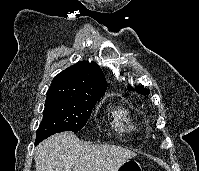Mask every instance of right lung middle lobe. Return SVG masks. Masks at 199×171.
I'll list each match as a JSON object with an SVG mask.
<instances>
[{
    "mask_svg": "<svg viewBox=\"0 0 199 171\" xmlns=\"http://www.w3.org/2000/svg\"><path fill=\"white\" fill-rule=\"evenodd\" d=\"M98 100H73L47 94L36 139H45L63 131L78 132L87 123Z\"/></svg>",
    "mask_w": 199,
    "mask_h": 171,
    "instance_id": "right-lung-middle-lobe-1",
    "label": "right lung middle lobe"
}]
</instances>
